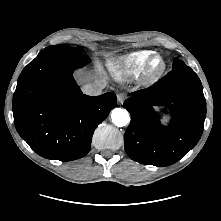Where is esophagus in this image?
<instances>
[{
  "instance_id": "esophagus-1",
  "label": "esophagus",
  "mask_w": 221,
  "mask_h": 221,
  "mask_svg": "<svg viewBox=\"0 0 221 221\" xmlns=\"http://www.w3.org/2000/svg\"><path fill=\"white\" fill-rule=\"evenodd\" d=\"M125 99H126V94L125 93H119L117 95V101L120 105L124 103Z\"/></svg>"
}]
</instances>
